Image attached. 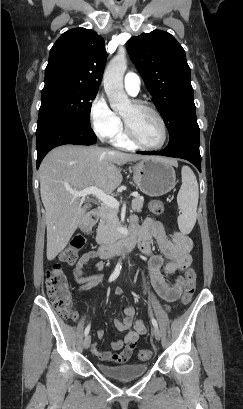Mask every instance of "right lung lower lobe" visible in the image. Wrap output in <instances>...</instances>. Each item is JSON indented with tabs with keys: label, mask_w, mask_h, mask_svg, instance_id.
Returning <instances> with one entry per match:
<instances>
[{
	"label": "right lung lower lobe",
	"mask_w": 243,
	"mask_h": 409,
	"mask_svg": "<svg viewBox=\"0 0 243 409\" xmlns=\"http://www.w3.org/2000/svg\"><path fill=\"white\" fill-rule=\"evenodd\" d=\"M97 138L91 126L65 121H49L37 127V169L44 156L54 147L64 144L91 145Z\"/></svg>",
	"instance_id": "obj_1"
}]
</instances>
